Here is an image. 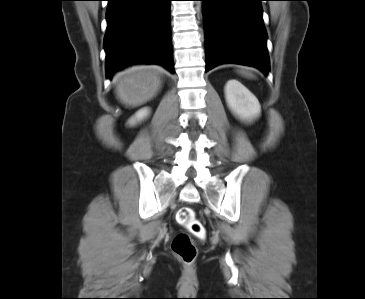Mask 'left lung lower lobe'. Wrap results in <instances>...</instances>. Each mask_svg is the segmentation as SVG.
<instances>
[{
	"label": "left lung lower lobe",
	"mask_w": 365,
	"mask_h": 299,
	"mask_svg": "<svg viewBox=\"0 0 365 299\" xmlns=\"http://www.w3.org/2000/svg\"><path fill=\"white\" fill-rule=\"evenodd\" d=\"M200 1H203L205 71L219 64L235 63L256 67L268 74L263 0Z\"/></svg>",
	"instance_id": "0a47b994"
}]
</instances>
